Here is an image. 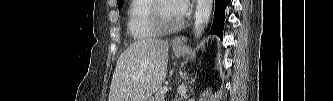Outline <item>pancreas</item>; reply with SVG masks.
Returning a JSON list of instances; mask_svg holds the SVG:
<instances>
[{
  "mask_svg": "<svg viewBox=\"0 0 333 101\" xmlns=\"http://www.w3.org/2000/svg\"><path fill=\"white\" fill-rule=\"evenodd\" d=\"M163 88H159L156 92L154 101H164V93L162 92Z\"/></svg>",
  "mask_w": 333,
  "mask_h": 101,
  "instance_id": "cf45deb5",
  "label": "pancreas"
}]
</instances>
